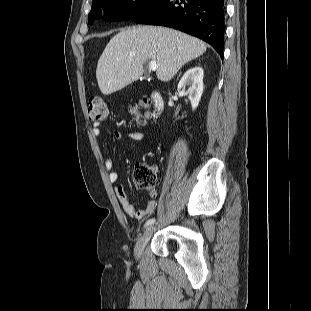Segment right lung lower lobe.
I'll return each instance as SVG.
<instances>
[{
  "mask_svg": "<svg viewBox=\"0 0 311 311\" xmlns=\"http://www.w3.org/2000/svg\"><path fill=\"white\" fill-rule=\"evenodd\" d=\"M131 20L191 34L209 43L223 58L224 0H158Z\"/></svg>",
  "mask_w": 311,
  "mask_h": 311,
  "instance_id": "right-lung-lower-lobe-1",
  "label": "right lung lower lobe"
}]
</instances>
